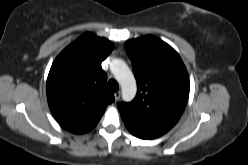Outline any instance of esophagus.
<instances>
[{
  "label": "esophagus",
  "mask_w": 248,
  "mask_h": 165,
  "mask_svg": "<svg viewBox=\"0 0 248 165\" xmlns=\"http://www.w3.org/2000/svg\"><path fill=\"white\" fill-rule=\"evenodd\" d=\"M120 96H121L120 91H117L116 93H114L115 100H119Z\"/></svg>",
  "instance_id": "34e87169"
}]
</instances>
